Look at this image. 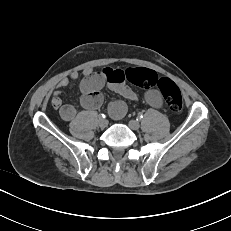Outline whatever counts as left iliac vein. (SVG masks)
I'll use <instances>...</instances> for the list:
<instances>
[{
	"mask_svg": "<svg viewBox=\"0 0 231 231\" xmlns=\"http://www.w3.org/2000/svg\"><path fill=\"white\" fill-rule=\"evenodd\" d=\"M128 126L131 130H138L140 128V124L136 120H130L128 122Z\"/></svg>",
	"mask_w": 231,
	"mask_h": 231,
	"instance_id": "1",
	"label": "left iliac vein"
}]
</instances>
